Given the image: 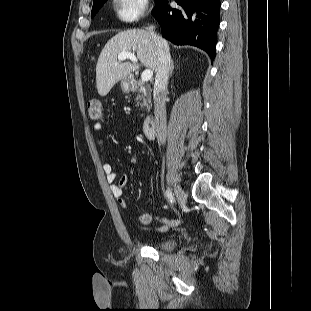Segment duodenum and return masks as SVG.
I'll return each instance as SVG.
<instances>
[{"label": "duodenum", "instance_id": "410a0bca", "mask_svg": "<svg viewBox=\"0 0 311 311\" xmlns=\"http://www.w3.org/2000/svg\"><path fill=\"white\" fill-rule=\"evenodd\" d=\"M131 83L134 84V80H131ZM156 131V119L153 115H149L143 125V133L146 138L151 139L154 137Z\"/></svg>", "mask_w": 311, "mask_h": 311}]
</instances>
